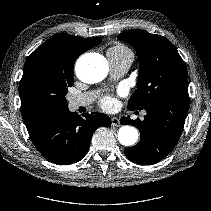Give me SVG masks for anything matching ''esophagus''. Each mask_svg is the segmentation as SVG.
<instances>
[{"label": "esophagus", "instance_id": "1", "mask_svg": "<svg viewBox=\"0 0 211 211\" xmlns=\"http://www.w3.org/2000/svg\"><path fill=\"white\" fill-rule=\"evenodd\" d=\"M111 122H112V126H116V127L120 126V121L117 117H112Z\"/></svg>", "mask_w": 211, "mask_h": 211}]
</instances>
